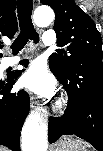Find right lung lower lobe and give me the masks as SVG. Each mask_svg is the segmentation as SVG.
Wrapping results in <instances>:
<instances>
[{"label": "right lung lower lobe", "mask_w": 103, "mask_h": 151, "mask_svg": "<svg viewBox=\"0 0 103 151\" xmlns=\"http://www.w3.org/2000/svg\"><path fill=\"white\" fill-rule=\"evenodd\" d=\"M21 72L0 79V144L20 151V131L29 112V95L24 91L10 93Z\"/></svg>", "instance_id": "98d812e1"}]
</instances>
